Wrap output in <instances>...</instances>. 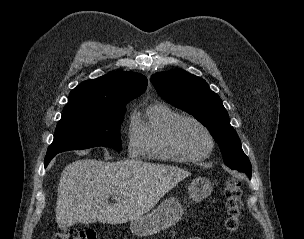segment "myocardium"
Here are the masks:
<instances>
[{
    "label": "myocardium",
    "mask_w": 304,
    "mask_h": 239,
    "mask_svg": "<svg viewBox=\"0 0 304 239\" xmlns=\"http://www.w3.org/2000/svg\"><path fill=\"white\" fill-rule=\"evenodd\" d=\"M185 122H192L204 131L209 141V146L205 152L201 154H191L186 152L180 146L177 138V132L180 126ZM167 144L172 152H174L180 158V160L196 162L204 160L211 155L215 147V140L210 129L201 120L193 116L181 115L170 124L167 130Z\"/></svg>",
    "instance_id": "obj_1"
}]
</instances>
